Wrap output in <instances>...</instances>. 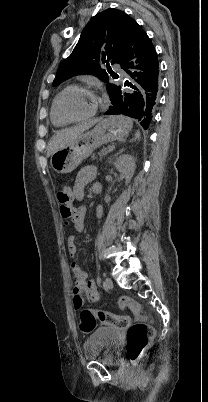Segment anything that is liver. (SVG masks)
Listing matches in <instances>:
<instances>
[{
  "instance_id": "liver-1",
  "label": "liver",
  "mask_w": 208,
  "mask_h": 402,
  "mask_svg": "<svg viewBox=\"0 0 208 402\" xmlns=\"http://www.w3.org/2000/svg\"><path fill=\"white\" fill-rule=\"evenodd\" d=\"M97 122H100V120H92V122H88V124L74 126V128H65V130L56 132L55 136H53L51 142L48 144L47 156H51V154H54V152H57L60 148H64L66 144H71V142H75L78 138H82L83 132L90 130Z\"/></svg>"
}]
</instances>
